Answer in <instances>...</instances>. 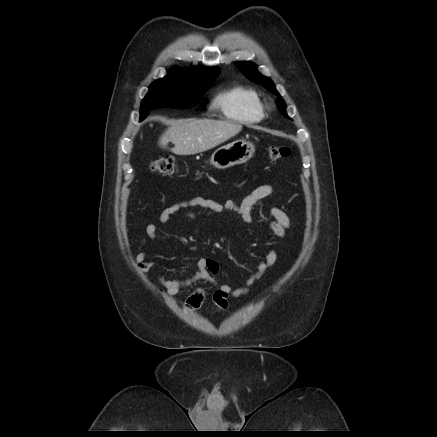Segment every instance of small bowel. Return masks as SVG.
<instances>
[{
    "mask_svg": "<svg viewBox=\"0 0 437 437\" xmlns=\"http://www.w3.org/2000/svg\"><path fill=\"white\" fill-rule=\"evenodd\" d=\"M274 193V187L270 184L260 185L255 188L250 194H248L241 202L235 200H227L224 203H219L212 199L204 197H194L185 201L174 203L161 212L159 216V222L161 224H167L172 215L180 211H184L186 215L194 219L195 214L191 211V208L199 207L210 210L215 213H221L225 210L236 212L240 215L245 223L251 224L254 222L253 218V206L271 196ZM271 221L268 226L274 235L277 237H284L287 229L290 227V220L287 214L280 208L272 207L269 211ZM158 228L154 223H149L145 227V237L142 239L141 246L136 255V262L144 273H148L155 267L154 262L147 260V252L142 250V247L146 241V238L150 240L157 239ZM278 260V254L275 250H269L265 257L257 264L256 271H254L242 286L237 288H231L227 284H218L216 281V275L219 272V265L215 260L209 258H200L197 264V270L195 274L186 279H166L164 276L159 275L158 281L164 288L165 292L169 296L177 295L182 289L187 288L199 281H204L212 285L217 286V289L213 293V302L217 310H225L228 306V300L230 297H239L246 294L252 285L262 278L265 272L271 268ZM205 300V291L202 288H196L186 298L185 307L188 310H197Z\"/></svg>",
    "mask_w": 437,
    "mask_h": 437,
    "instance_id": "c3829d8e",
    "label": "small bowel"
}]
</instances>
